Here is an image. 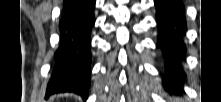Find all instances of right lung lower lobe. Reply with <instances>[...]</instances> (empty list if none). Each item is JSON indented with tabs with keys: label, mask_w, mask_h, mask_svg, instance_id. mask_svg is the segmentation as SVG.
<instances>
[{
	"label": "right lung lower lobe",
	"mask_w": 221,
	"mask_h": 102,
	"mask_svg": "<svg viewBox=\"0 0 221 102\" xmlns=\"http://www.w3.org/2000/svg\"><path fill=\"white\" fill-rule=\"evenodd\" d=\"M94 0L65 1L60 22V41L46 96L74 92L88 96L91 65V31L95 24Z\"/></svg>",
	"instance_id": "right-lung-lower-lobe-1"
}]
</instances>
